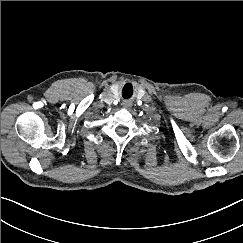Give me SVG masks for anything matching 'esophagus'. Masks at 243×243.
Segmentation results:
<instances>
[{"instance_id": "1", "label": "esophagus", "mask_w": 243, "mask_h": 243, "mask_svg": "<svg viewBox=\"0 0 243 243\" xmlns=\"http://www.w3.org/2000/svg\"><path fill=\"white\" fill-rule=\"evenodd\" d=\"M123 106L128 107L129 104L128 103H123Z\"/></svg>"}]
</instances>
